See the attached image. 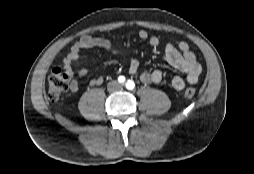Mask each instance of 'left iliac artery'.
I'll return each instance as SVG.
<instances>
[{"instance_id":"44dca946","label":"left iliac artery","mask_w":254,"mask_h":174,"mask_svg":"<svg viewBox=\"0 0 254 174\" xmlns=\"http://www.w3.org/2000/svg\"><path fill=\"white\" fill-rule=\"evenodd\" d=\"M134 87H135L134 81L128 80L127 83H126V88L129 89V90H132V89H134Z\"/></svg>"}]
</instances>
